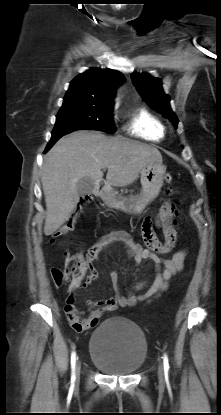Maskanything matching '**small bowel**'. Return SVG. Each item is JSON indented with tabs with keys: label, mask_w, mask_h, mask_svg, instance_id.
<instances>
[{
	"label": "small bowel",
	"mask_w": 221,
	"mask_h": 415,
	"mask_svg": "<svg viewBox=\"0 0 221 415\" xmlns=\"http://www.w3.org/2000/svg\"><path fill=\"white\" fill-rule=\"evenodd\" d=\"M171 212L176 214L175 206L169 202ZM164 240L160 241L154 231L153 223L150 217H146L141 226L142 237L145 247L136 243L126 232H112L103 235L87 251L89 260L97 259L99 255L113 244H121L126 249L128 257L134 260L135 265H141L148 262L154 267V279L149 289L143 294H136L135 291L141 290L146 285V280L136 283L127 295H122L118 285V269L110 273V279L115 289V296L105 300H89L88 306L90 313L87 317H82L81 313L75 307L76 292L80 288L86 287V284L76 287H70L69 293L65 300V313L71 327L82 332L97 325L100 317L105 312H112L119 307L134 306L138 302H149L152 298L159 296L169 287L170 279L183 269L187 251L178 250L169 259L161 257L162 254L171 252L177 242V231L170 222L161 223ZM98 277L96 271H91L88 275V281H93Z\"/></svg>",
	"instance_id": "small-bowel-1"
}]
</instances>
